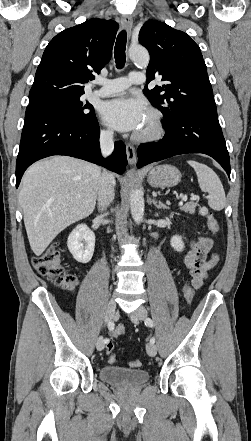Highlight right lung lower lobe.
Here are the masks:
<instances>
[{
  "instance_id": "right-lung-lower-lobe-1",
  "label": "right lung lower lobe",
  "mask_w": 251,
  "mask_h": 441,
  "mask_svg": "<svg viewBox=\"0 0 251 441\" xmlns=\"http://www.w3.org/2000/svg\"><path fill=\"white\" fill-rule=\"evenodd\" d=\"M99 135L96 117L81 123L49 110L28 106L16 161V188L32 163L52 155L72 156L118 174L124 173L127 164L125 145L116 142L112 155L104 159L100 154Z\"/></svg>"
}]
</instances>
